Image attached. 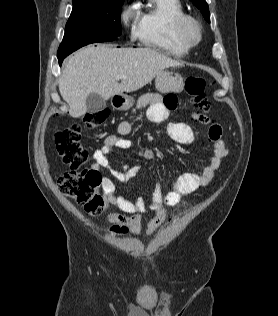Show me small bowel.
Returning <instances> with one entry per match:
<instances>
[{
	"mask_svg": "<svg viewBox=\"0 0 278 316\" xmlns=\"http://www.w3.org/2000/svg\"><path fill=\"white\" fill-rule=\"evenodd\" d=\"M176 105L177 100L173 95H168L163 99L159 94L147 93L138 99L133 112L147 108V118L150 121L164 122ZM192 117L197 122L208 127V137L212 142V155L209 163L201 169L200 173L185 172L177 176L172 182L171 190L165 195L162 194L160 186L154 184L151 190L149 208L155 211L156 214L145 225L141 217V214L147 209L145 200L140 196L134 200H129L125 196L117 194L116 186L111 178L113 177L121 182L132 181L139 174L140 167L126 164L123 165L121 170H116L112 168L108 159V156L115 150H125L134 146L130 139L124 138L131 132V122L122 121L118 125L117 134L107 136L103 146L93 151L92 158L94 163L91 166V170L100 173V170L105 169L111 175V177L104 176L101 181L105 201L121 212L107 214L106 219L111 224L110 233L115 235L128 233L137 235L145 228L147 235L153 234L166 221V206L177 205L183 196L208 185L213 179L229 150L227 143L222 137L223 129L220 124L214 122L206 114L193 113ZM167 130L169 136L178 143L188 145L194 142V132L188 124L171 122L168 124ZM138 155L145 160H152L155 156L154 151L150 148L139 149Z\"/></svg>",
	"mask_w": 278,
	"mask_h": 316,
	"instance_id": "1",
	"label": "small bowel"
}]
</instances>
